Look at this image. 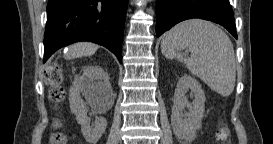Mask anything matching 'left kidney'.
Listing matches in <instances>:
<instances>
[{"label": "left kidney", "mask_w": 273, "mask_h": 144, "mask_svg": "<svg viewBox=\"0 0 273 144\" xmlns=\"http://www.w3.org/2000/svg\"><path fill=\"white\" fill-rule=\"evenodd\" d=\"M188 90L194 94L192 103L185 96ZM205 100V93L194 78L186 74L180 77L175 88L171 116L172 129L178 139L189 141L195 137L204 117ZM185 107L189 110L187 114H183Z\"/></svg>", "instance_id": "1"}]
</instances>
